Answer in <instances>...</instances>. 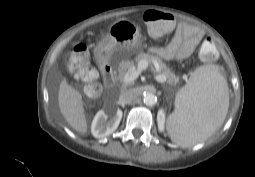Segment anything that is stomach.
<instances>
[{
  "instance_id": "0dacf381",
  "label": "stomach",
  "mask_w": 255,
  "mask_h": 177,
  "mask_svg": "<svg viewBox=\"0 0 255 177\" xmlns=\"http://www.w3.org/2000/svg\"><path fill=\"white\" fill-rule=\"evenodd\" d=\"M142 42L140 28L128 19H119L110 25L106 36L97 46V52L104 61L117 60L140 53Z\"/></svg>"
}]
</instances>
